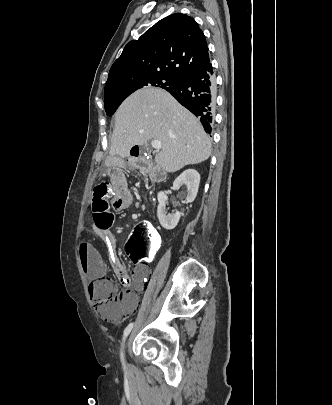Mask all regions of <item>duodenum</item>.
<instances>
[{"mask_svg": "<svg viewBox=\"0 0 332 405\" xmlns=\"http://www.w3.org/2000/svg\"><path fill=\"white\" fill-rule=\"evenodd\" d=\"M140 155L139 151H132L131 152V157L132 158H137ZM150 178L152 181L159 183L165 180V176L161 174L160 172L156 171H150Z\"/></svg>", "mask_w": 332, "mask_h": 405, "instance_id": "1", "label": "duodenum"}]
</instances>
